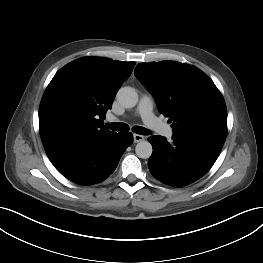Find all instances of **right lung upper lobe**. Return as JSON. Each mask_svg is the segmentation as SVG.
I'll use <instances>...</instances> for the list:
<instances>
[{
  "instance_id": "obj_1",
  "label": "right lung upper lobe",
  "mask_w": 263,
  "mask_h": 263,
  "mask_svg": "<svg viewBox=\"0 0 263 263\" xmlns=\"http://www.w3.org/2000/svg\"><path fill=\"white\" fill-rule=\"evenodd\" d=\"M135 62L84 57L61 68L46 88L39 107V130L48 156L88 138L114 132L105 112L130 76Z\"/></svg>"
}]
</instances>
